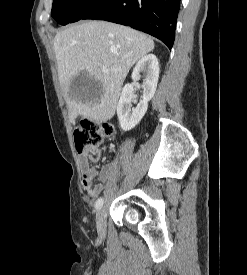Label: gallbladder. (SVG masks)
Here are the masks:
<instances>
[{
  "instance_id": "1",
  "label": "gallbladder",
  "mask_w": 247,
  "mask_h": 275,
  "mask_svg": "<svg viewBox=\"0 0 247 275\" xmlns=\"http://www.w3.org/2000/svg\"><path fill=\"white\" fill-rule=\"evenodd\" d=\"M71 91L84 93L89 96L99 95L101 92L100 82L88 76L86 72H81L71 80Z\"/></svg>"
}]
</instances>
